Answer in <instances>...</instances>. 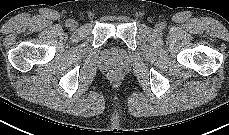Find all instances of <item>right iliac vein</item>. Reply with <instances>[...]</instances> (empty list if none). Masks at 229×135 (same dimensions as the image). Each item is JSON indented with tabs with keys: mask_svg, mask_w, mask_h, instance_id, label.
I'll return each mask as SVG.
<instances>
[{
	"mask_svg": "<svg viewBox=\"0 0 229 135\" xmlns=\"http://www.w3.org/2000/svg\"><path fill=\"white\" fill-rule=\"evenodd\" d=\"M71 29H75L77 27V23L75 21H72L70 22V26H69Z\"/></svg>",
	"mask_w": 229,
	"mask_h": 135,
	"instance_id": "1",
	"label": "right iliac vein"
}]
</instances>
